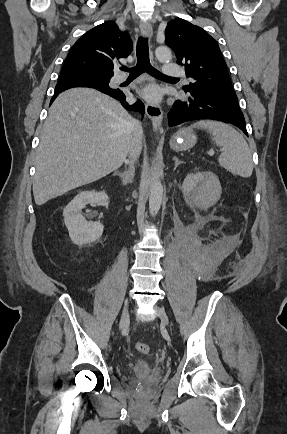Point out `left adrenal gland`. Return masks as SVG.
I'll return each instance as SVG.
<instances>
[{
	"instance_id": "left-adrenal-gland-1",
	"label": "left adrenal gland",
	"mask_w": 287,
	"mask_h": 434,
	"mask_svg": "<svg viewBox=\"0 0 287 434\" xmlns=\"http://www.w3.org/2000/svg\"><path fill=\"white\" fill-rule=\"evenodd\" d=\"M173 161L175 162V167L174 169H176L178 167L179 164L184 163L183 161H180L176 156L173 157Z\"/></svg>"
}]
</instances>
